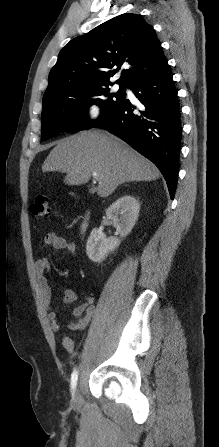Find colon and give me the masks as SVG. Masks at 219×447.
I'll use <instances>...</instances> for the list:
<instances>
[{
	"mask_svg": "<svg viewBox=\"0 0 219 447\" xmlns=\"http://www.w3.org/2000/svg\"><path fill=\"white\" fill-rule=\"evenodd\" d=\"M31 214L35 217L48 218L50 216L49 199L46 196H37L30 206Z\"/></svg>",
	"mask_w": 219,
	"mask_h": 447,
	"instance_id": "colon-1",
	"label": "colon"
}]
</instances>
